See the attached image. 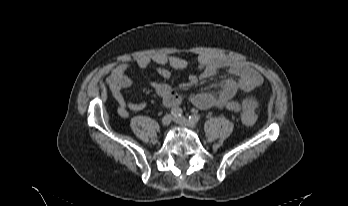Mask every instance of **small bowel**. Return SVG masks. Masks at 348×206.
<instances>
[{
  "mask_svg": "<svg viewBox=\"0 0 348 206\" xmlns=\"http://www.w3.org/2000/svg\"><path fill=\"white\" fill-rule=\"evenodd\" d=\"M161 66L158 73L162 78H169L170 71L163 67L168 65L174 69H184L188 63L177 56L158 54L155 56H140L136 59V64L140 68H147L151 64ZM199 74H192L189 80L181 85L183 90H187L199 83L200 80L214 76L220 69H228L236 75V79H226L222 88L216 92H200L191 96V102L200 109H226L231 112L242 113L243 104L234 100L238 94H247L263 82L262 76L248 64L225 56L203 53L197 59ZM130 65L121 63L115 66L106 78V84L118 104V113L121 117H129L130 111H141L146 107V103H134L127 101L123 96V91L134 84L127 71ZM150 86L161 98L166 107H176L181 102V96L169 85L160 82H151ZM256 108V102L246 99Z\"/></svg>",
  "mask_w": 348,
  "mask_h": 206,
  "instance_id": "obj_1",
  "label": "small bowel"
}]
</instances>
